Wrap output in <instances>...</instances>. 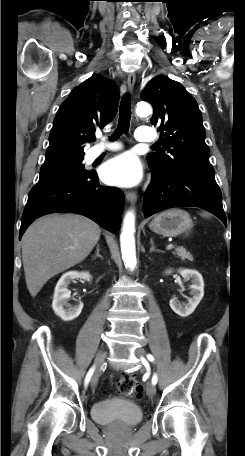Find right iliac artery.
<instances>
[{
  "label": "right iliac artery",
  "instance_id": "right-iliac-artery-1",
  "mask_svg": "<svg viewBox=\"0 0 245 456\" xmlns=\"http://www.w3.org/2000/svg\"><path fill=\"white\" fill-rule=\"evenodd\" d=\"M94 369H95V367H92V368L88 371V373H87V375H86V377H85V381H84L85 387H87V385H88V383H89V381H90V379H91V376L93 375Z\"/></svg>",
  "mask_w": 245,
  "mask_h": 456
}]
</instances>
